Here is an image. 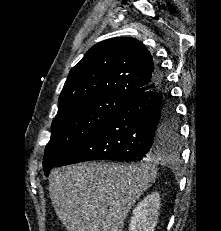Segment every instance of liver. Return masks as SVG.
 I'll return each instance as SVG.
<instances>
[{
	"label": "liver",
	"mask_w": 221,
	"mask_h": 231,
	"mask_svg": "<svg viewBox=\"0 0 221 231\" xmlns=\"http://www.w3.org/2000/svg\"><path fill=\"white\" fill-rule=\"evenodd\" d=\"M169 157L162 153L157 161ZM85 162L55 168L49 194L68 231H122L129 210L157 176L155 165Z\"/></svg>",
	"instance_id": "1"
}]
</instances>
